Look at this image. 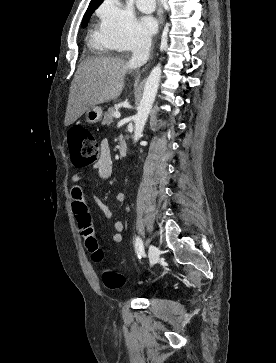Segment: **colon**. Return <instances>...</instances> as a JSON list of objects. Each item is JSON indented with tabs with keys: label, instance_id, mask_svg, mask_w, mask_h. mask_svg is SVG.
Here are the masks:
<instances>
[{
	"label": "colon",
	"instance_id": "5ec220e1",
	"mask_svg": "<svg viewBox=\"0 0 276 363\" xmlns=\"http://www.w3.org/2000/svg\"><path fill=\"white\" fill-rule=\"evenodd\" d=\"M68 145L71 158L75 166L84 168L95 163L99 158V144L94 135L83 127H74L68 132ZM90 224L87 214L79 217L80 228H86ZM85 245L95 262H101L104 259V252L99 247L96 237L88 233L85 239ZM104 285L108 289H119L125 284V277L114 269H106L102 275Z\"/></svg>",
	"mask_w": 276,
	"mask_h": 363
}]
</instances>
